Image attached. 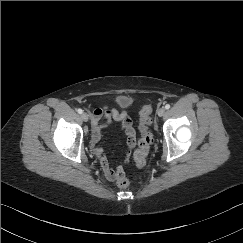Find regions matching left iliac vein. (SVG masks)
I'll list each match as a JSON object with an SVG mask.
<instances>
[{"label":"left iliac vein","mask_w":243,"mask_h":243,"mask_svg":"<svg viewBox=\"0 0 243 243\" xmlns=\"http://www.w3.org/2000/svg\"><path fill=\"white\" fill-rule=\"evenodd\" d=\"M165 112H166V110H165V108H163V107H161V108H159V109L157 110V114H158V116H160V117L164 116Z\"/></svg>","instance_id":"4c4485c4"}]
</instances>
